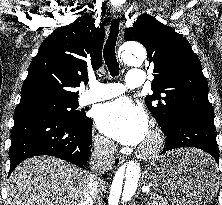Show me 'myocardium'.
Returning <instances> with one entry per match:
<instances>
[{
    "label": "myocardium",
    "instance_id": "myocardium-1",
    "mask_svg": "<svg viewBox=\"0 0 222 205\" xmlns=\"http://www.w3.org/2000/svg\"><path fill=\"white\" fill-rule=\"evenodd\" d=\"M165 138L162 131L158 128H153L148 133L147 139L141 145L139 153L144 157H150L160 151L164 144Z\"/></svg>",
    "mask_w": 222,
    "mask_h": 205
}]
</instances>
